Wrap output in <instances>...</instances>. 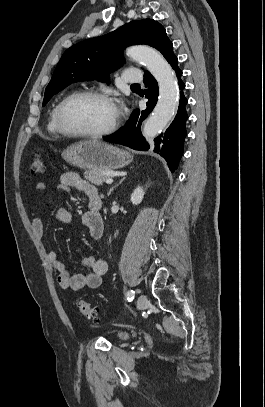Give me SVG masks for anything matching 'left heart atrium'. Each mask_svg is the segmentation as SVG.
<instances>
[{
  "instance_id": "39dd6f15",
  "label": "left heart atrium",
  "mask_w": 265,
  "mask_h": 407,
  "mask_svg": "<svg viewBox=\"0 0 265 407\" xmlns=\"http://www.w3.org/2000/svg\"><path fill=\"white\" fill-rule=\"evenodd\" d=\"M115 110H116V113H118V112H119V108H118V107H115Z\"/></svg>"
}]
</instances>
